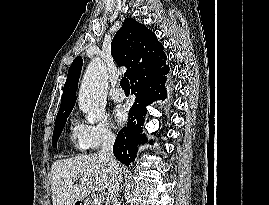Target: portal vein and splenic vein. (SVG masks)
<instances>
[{"label": "portal vein and splenic vein", "instance_id": "obj_1", "mask_svg": "<svg viewBox=\"0 0 269 205\" xmlns=\"http://www.w3.org/2000/svg\"><path fill=\"white\" fill-rule=\"evenodd\" d=\"M88 179L84 178V179H81V182H86ZM72 184V183H71ZM102 203V196L101 195H96L94 197V204L95 205H101Z\"/></svg>", "mask_w": 269, "mask_h": 205}]
</instances>
